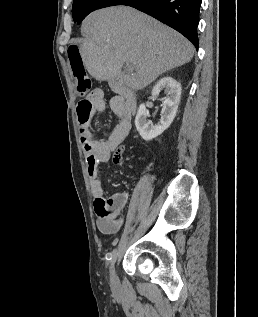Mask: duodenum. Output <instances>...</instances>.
<instances>
[{"instance_id": "duodenum-1", "label": "duodenum", "mask_w": 258, "mask_h": 317, "mask_svg": "<svg viewBox=\"0 0 258 317\" xmlns=\"http://www.w3.org/2000/svg\"><path fill=\"white\" fill-rule=\"evenodd\" d=\"M131 106H132V109L135 111V110H136V102L133 101V102L131 103Z\"/></svg>"}]
</instances>
